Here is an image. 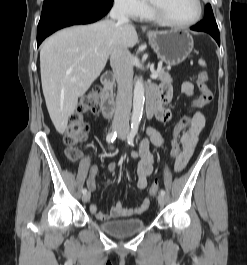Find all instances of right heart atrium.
Wrapping results in <instances>:
<instances>
[{
	"label": "right heart atrium",
	"mask_w": 247,
	"mask_h": 265,
	"mask_svg": "<svg viewBox=\"0 0 247 265\" xmlns=\"http://www.w3.org/2000/svg\"><path fill=\"white\" fill-rule=\"evenodd\" d=\"M116 8L123 14L131 18H141L147 11L144 0H114Z\"/></svg>",
	"instance_id": "right-heart-atrium-1"
}]
</instances>
